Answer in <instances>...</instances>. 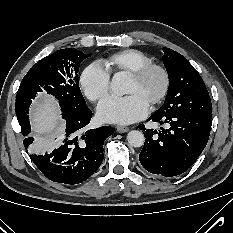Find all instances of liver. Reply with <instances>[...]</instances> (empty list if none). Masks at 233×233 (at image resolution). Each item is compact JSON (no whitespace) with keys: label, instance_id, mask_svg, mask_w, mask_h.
<instances>
[{"label":"liver","instance_id":"6515ba94","mask_svg":"<svg viewBox=\"0 0 233 233\" xmlns=\"http://www.w3.org/2000/svg\"><path fill=\"white\" fill-rule=\"evenodd\" d=\"M32 125L34 134L45 141L62 130L59 121V109L55 101L44 97L32 109Z\"/></svg>","mask_w":233,"mask_h":233}]
</instances>
